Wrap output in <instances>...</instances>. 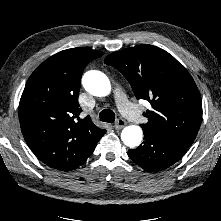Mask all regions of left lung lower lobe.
Masks as SVG:
<instances>
[{
    "label": "left lung lower lobe",
    "instance_id": "left-lung-lower-lobe-1",
    "mask_svg": "<svg viewBox=\"0 0 221 221\" xmlns=\"http://www.w3.org/2000/svg\"><path fill=\"white\" fill-rule=\"evenodd\" d=\"M144 140L138 148L128 150V156L147 171L164 170L176 163L187 151L185 146L148 132H144Z\"/></svg>",
    "mask_w": 221,
    "mask_h": 221
}]
</instances>
